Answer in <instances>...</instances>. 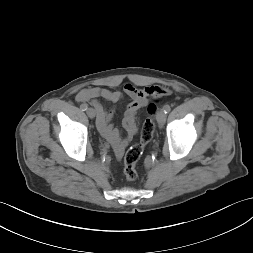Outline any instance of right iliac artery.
<instances>
[{"instance_id":"82829eb1","label":"right iliac artery","mask_w":253,"mask_h":253,"mask_svg":"<svg viewBox=\"0 0 253 253\" xmlns=\"http://www.w3.org/2000/svg\"><path fill=\"white\" fill-rule=\"evenodd\" d=\"M80 108H81L83 111H85V110H87L88 106H87V104H81Z\"/></svg>"}]
</instances>
